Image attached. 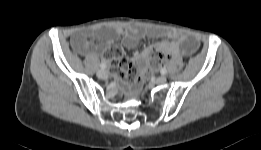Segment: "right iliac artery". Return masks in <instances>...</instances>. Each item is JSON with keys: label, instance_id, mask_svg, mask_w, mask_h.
<instances>
[{"label": "right iliac artery", "instance_id": "82829eb1", "mask_svg": "<svg viewBox=\"0 0 261 150\" xmlns=\"http://www.w3.org/2000/svg\"><path fill=\"white\" fill-rule=\"evenodd\" d=\"M100 68H101V69H105V68H106V64L101 63V64H100Z\"/></svg>", "mask_w": 261, "mask_h": 150}]
</instances>
